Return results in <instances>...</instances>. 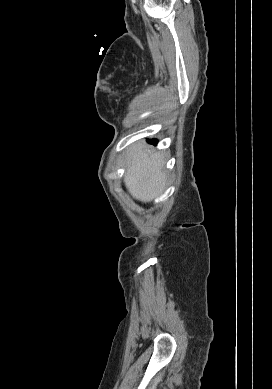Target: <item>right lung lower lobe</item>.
<instances>
[{"label": "right lung lower lobe", "mask_w": 272, "mask_h": 389, "mask_svg": "<svg viewBox=\"0 0 272 389\" xmlns=\"http://www.w3.org/2000/svg\"><path fill=\"white\" fill-rule=\"evenodd\" d=\"M150 143L156 144L157 140H152Z\"/></svg>", "instance_id": "98d812e1"}]
</instances>
